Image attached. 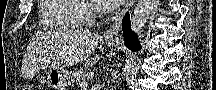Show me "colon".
<instances>
[{
  "mask_svg": "<svg viewBox=\"0 0 216 90\" xmlns=\"http://www.w3.org/2000/svg\"><path fill=\"white\" fill-rule=\"evenodd\" d=\"M24 90H31V88L30 87H25Z\"/></svg>",
  "mask_w": 216,
  "mask_h": 90,
  "instance_id": "5ec220e1",
  "label": "colon"
}]
</instances>
